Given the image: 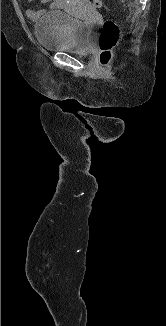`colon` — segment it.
<instances>
[{"label":"colon","mask_w":166,"mask_h":326,"mask_svg":"<svg viewBox=\"0 0 166 326\" xmlns=\"http://www.w3.org/2000/svg\"><path fill=\"white\" fill-rule=\"evenodd\" d=\"M95 8L101 7L100 0H92ZM120 37V30L116 22L106 20L99 35L100 63L102 66L109 65L113 59V49Z\"/></svg>","instance_id":"obj_1"}]
</instances>
